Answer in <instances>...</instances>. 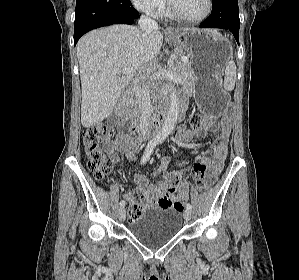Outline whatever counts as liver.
I'll return each mask as SVG.
<instances>
[{"label":"liver","instance_id":"liver-1","mask_svg":"<svg viewBox=\"0 0 299 280\" xmlns=\"http://www.w3.org/2000/svg\"><path fill=\"white\" fill-rule=\"evenodd\" d=\"M183 28L181 31H189ZM163 35L156 29L143 33L130 25H112L84 35L77 44L82 86L81 123L88 128L114 110L134 72L146 71L157 57ZM131 68L134 72L120 75Z\"/></svg>","mask_w":299,"mask_h":280}]
</instances>
